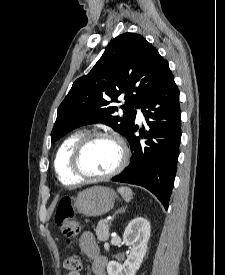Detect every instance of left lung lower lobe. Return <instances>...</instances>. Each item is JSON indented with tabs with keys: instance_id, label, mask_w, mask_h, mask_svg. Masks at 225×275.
I'll use <instances>...</instances> for the list:
<instances>
[{
	"instance_id": "1",
	"label": "left lung lower lobe",
	"mask_w": 225,
	"mask_h": 275,
	"mask_svg": "<svg viewBox=\"0 0 225 275\" xmlns=\"http://www.w3.org/2000/svg\"><path fill=\"white\" fill-rule=\"evenodd\" d=\"M149 131L135 136L136 126L126 134L132 156L129 165L112 180L143 186L167 209L177 170L181 139L179 91L169 69L140 104ZM150 119V120H149Z\"/></svg>"
}]
</instances>
